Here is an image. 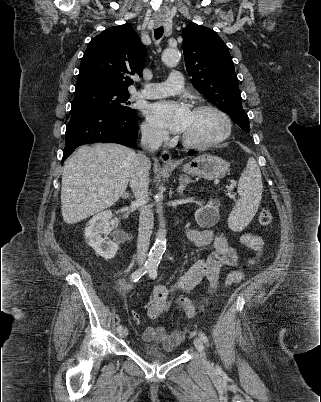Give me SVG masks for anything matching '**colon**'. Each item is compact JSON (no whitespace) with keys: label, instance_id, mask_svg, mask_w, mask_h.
Masks as SVG:
<instances>
[{"label":"colon","instance_id":"colon-1","mask_svg":"<svg viewBox=\"0 0 321 402\" xmlns=\"http://www.w3.org/2000/svg\"><path fill=\"white\" fill-rule=\"evenodd\" d=\"M272 214L268 209H262L259 212L258 221L261 226H269L272 223ZM207 305V299L199 301L196 310H201ZM133 318L135 321L139 322V315L134 313Z\"/></svg>","mask_w":321,"mask_h":402}]
</instances>
